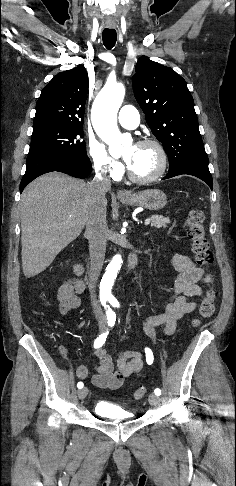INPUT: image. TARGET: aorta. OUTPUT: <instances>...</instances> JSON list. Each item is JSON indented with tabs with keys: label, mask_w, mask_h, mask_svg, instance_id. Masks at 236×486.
Wrapping results in <instances>:
<instances>
[{
	"label": "aorta",
	"mask_w": 236,
	"mask_h": 486,
	"mask_svg": "<svg viewBox=\"0 0 236 486\" xmlns=\"http://www.w3.org/2000/svg\"><path fill=\"white\" fill-rule=\"evenodd\" d=\"M125 96V87L121 83H106L98 94L92 107V122L99 137L109 146V153L121 152L125 137L117 126V112ZM122 258L115 255L108 264L100 283V295L111 296V290L117 273L121 268Z\"/></svg>",
	"instance_id": "obj_1"
}]
</instances>
